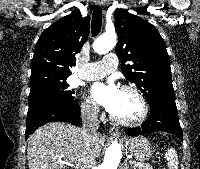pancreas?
I'll return each instance as SVG.
<instances>
[{
  "mask_svg": "<svg viewBox=\"0 0 200 169\" xmlns=\"http://www.w3.org/2000/svg\"><path fill=\"white\" fill-rule=\"evenodd\" d=\"M131 165L133 166V169H152L149 164L142 162L132 161Z\"/></svg>",
  "mask_w": 200,
  "mask_h": 169,
  "instance_id": "obj_1",
  "label": "pancreas"
}]
</instances>
